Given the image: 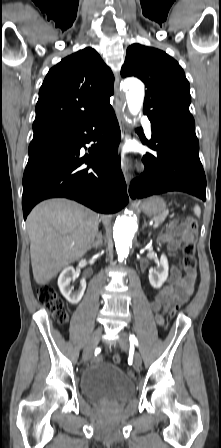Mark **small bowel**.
I'll use <instances>...</instances> for the list:
<instances>
[{
  "instance_id": "1",
  "label": "small bowel",
  "mask_w": 221,
  "mask_h": 448,
  "mask_svg": "<svg viewBox=\"0 0 221 448\" xmlns=\"http://www.w3.org/2000/svg\"><path fill=\"white\" fill-rule=\"evenodd\" d=\"M188 239L189 237L173 223L160 236V240L166 243L170 253L175 252ZM197 280L198 276L195 270L187 272L179 264L172 266L170 283L163 287L149 304L157 323H164V314L171 307H180L189 300L195 290Z\"/></svg>"
}]
</instances>
